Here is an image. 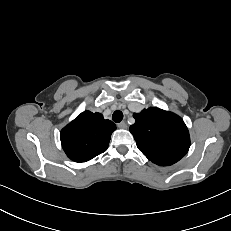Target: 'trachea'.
<instances>
[{
  "label": "trachea",
  "mask_w": 231,
  "mask_h": 231,
  "mask_svg": "<svg viewBox=\"0 0 231 231\" xmlns=\"http://www.w3.org/2000/svg\"><path fill=\"white\" fill-rule=\"evenodd\" d=\"M112 119L116 123L121 122L123 119V113L120 110H116L112 115Z\"/></svg>",
  "instance_id": "trachea-1"
}]
</instances>
